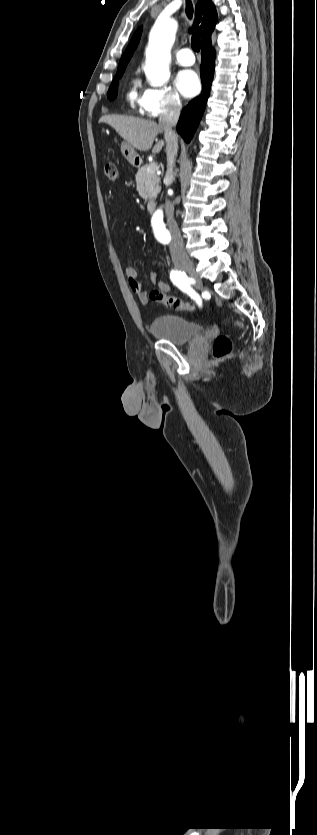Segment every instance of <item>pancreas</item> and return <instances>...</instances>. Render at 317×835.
Here are the masks:
<instances>
[{
	"label": "pancreas",
	"mask_w": 317,
	"mask_h": 835,
	"mask_svg": "<svg viewBox=\"0 0 317 835\" xmlns=\"http://www.w3.org/2000/svg\"><path fill=\"white\" fill-rule=\"evenodd\" d=\"M150 164L140 167L136 174V184L139 195L145 200H154L161 190L160 178L155 171H147Z\"/></svg>",
	"instance_id": "1"
}]
</instances>
